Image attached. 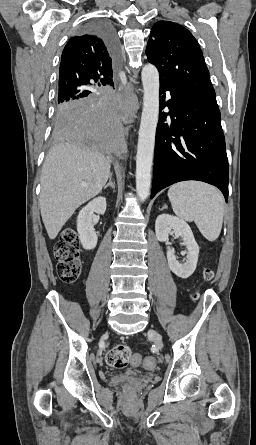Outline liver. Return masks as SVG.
I'll return each mask as SVG.
<instances>
[{
	"mask_svg": "<svg viewBox=\"0 0 256 445\" xmlns=\"http://www.w3.org/2000/svg\"><path fill=\"white\" fill-rule=\"evenodd\" d=\"M110 164L79 143H59L45 158L41 174L40 210L50 239H55L75 210L99 194Z\"/></svg>",
	"mask_w": 256,
	"mask_h": 445,
	"instance_id": "liver-1",
	"label": "liver"
}]
</instances>
